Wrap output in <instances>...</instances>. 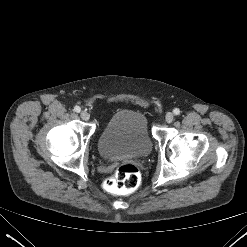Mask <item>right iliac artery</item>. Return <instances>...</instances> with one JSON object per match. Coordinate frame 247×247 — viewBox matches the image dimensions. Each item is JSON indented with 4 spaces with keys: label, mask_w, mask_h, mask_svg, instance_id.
<instances>
[{
    "label": "right iliac artery",
    "mask_w": 247,
    "mask_h": 247,
    "mask_svg": "<svg viewBox=\"0 0 247 247\" xmlns=\"http://www.w3.org/2000/svg\"><path fill=\"white\" fill-rule=\"evenodd\" d=\"M74 111L77 112V113H79L81 111V108L79 106H75L74 107Z\"/></svg>",
    "instance_id": "1"
}]
</instances>
